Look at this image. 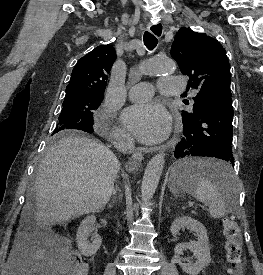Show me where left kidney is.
Instances as JSON below:
<instances>
[{"mask_svg":"<svg viewBox=\"0 0 263 275\" xmlns=\"http://www.w3.org/2000/svg\"><path fill=\"white\" fill-rule=\"evenodd\" d=\"M182 228H187L190 231L195 232L198 236V241L189 243H178L174 248L175 255L172 261L174 263H178L186 274L198 275L199 272L211 262L207 230L201 222L189 216L176 218L171 225L170 231L172 235L176 238V235ZM185 249H189L193 252L194 257L197 259L195 263L182 262L180 255Z\"/></svg>","mask_w":263,"mask_h":275,"instance_id":"obj_1","label":"left kidney"}]
</instances>
